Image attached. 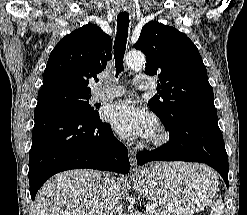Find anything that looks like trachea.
<instances>
[{"label":"trachea","mask_w":247,"mask_h":215,"mask_svg":"<svg viewBox=\"0 0 247 215\" xmlns=\"http://www.w3.org/2000/svg\"><path fill=\"white\" fill-rule=\"evenodd\" d=\"M128 27L129 14L127 12L119 13L117 16V34L114 41L116 77L124 70L123 58L126 50Z\"/></svg>","instance_id":"1"}]
</instances>
